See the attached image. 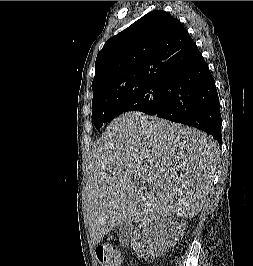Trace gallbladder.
<instances>
[{
  "instance_id": "obj_1",
  "label": "gallbladder",
  "mask_w": 253,
  "mask_h": 266,
  "mask_svg": "<svg viewBox=\"0 0 253 266\" xmlns=\"http://www.w3.org/2000/svg\"><path fill=\"white\" fill-rule=\"evenodd\" d=\"M129 227H130V225L127 224V223H124V224L120 225V232H121L122 230L126 229V228H129Z\"/></svg>"
}]
</instances>
